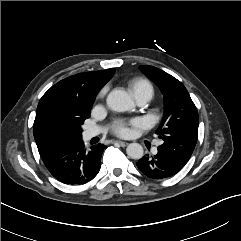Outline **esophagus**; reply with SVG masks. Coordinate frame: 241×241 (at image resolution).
Masks as SVG:
<instances>
[{
	"mask_svg": "<svg viewBox=\"0 0 241 241\" xmlns=\"http://www.w3.org/2000/svg\"><path fill=\"white\" fill-rule=\"evenodd\" d=\"M120 146H122V147H125V146H127L128 145V143L127 142H124V141H116Z\"/></svg>",
	"mask_w": 241,
	"mask_h": 241,
	"instance_id": "34e87169",
	"label": "esophagus"
}]
</instances>
